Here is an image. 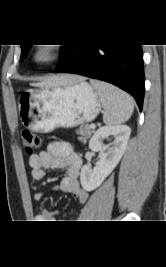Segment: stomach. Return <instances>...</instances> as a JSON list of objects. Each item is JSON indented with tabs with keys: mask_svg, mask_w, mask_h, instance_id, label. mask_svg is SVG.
Returning a JSON list of instances; mask_svg holds the SVG:
<instances>
[{
	"mask_svg": "<svg viewBox=\"0 0 166 267\" xmlns=\"http://www.w3.org/2000/svg\"><path fill=\"white\" fill-rule=\"evenodd\" d=\"M101 111L96 90L85 81L73 85L40 87L19 98L22 124L32 131L49 133L94 120Z\"/></svg>",
	"mask_w": 166,
	"mask_h": 267,
	"instance_id": "obj_1",
	"label": "stomach"
}]
</instances>
